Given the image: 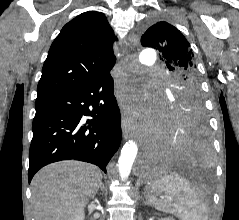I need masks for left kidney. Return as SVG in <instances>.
Instances as JSON below:
<instances>
[{
    "instance_id": "obj_1",
    "label": "left kidney",
    "mask_w": 239,
    "mask_h": 220,
    "mask_svg": "<svg viewBox=\"0 0 239 220\" xmlns=\"http://www.w3.org/2000/svg\"><path fill=\"white\" fill-rule=\"evenodd\" d=\"M159 220H174L173 218H161Z\"/></svg>"
}]
</instances>
